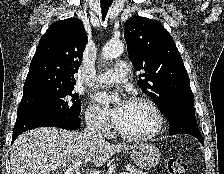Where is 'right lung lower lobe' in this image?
<instances>
[{"label": "right lung lower lobe", "mask_w": 224, "mask_h": 174, "mask_svg": "<svg viewBox=\"0 0 224 174\" xmlns=\"http://www.w3.org/2000/svg\"><path fill=\"white\" fill-rule=\"evenodd\" d=\"M81 124L78 117H56L37 111H23L17 114L13 129L12 143L23 132L38 127H59L67 130H75Z\"/></svg>", "instance_id": "obj_1"}]
</instances>
